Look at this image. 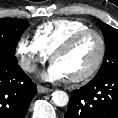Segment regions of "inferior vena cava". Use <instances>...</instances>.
I'll list each match as a JSON object with an SVG mask.
<instances>
[{
  "label": "inferior vena cava",
  "instance_id": "1",
  "mask_svg": "<svg viewBox=\"0 0 118 118\" xmlns=\"http://www.w3.org/2000/svg\"><path fill=\"white\" fill-rule=\"evenodd\" d=\"M21 67L28 72H33L36 69V64L30 60H24L21 62Z\"/></svg>",
  "mask_w": 118,
  "mask_h": 118
}]
</instances>
